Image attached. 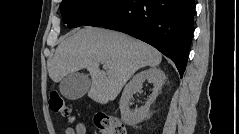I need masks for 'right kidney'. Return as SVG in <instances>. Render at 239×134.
<instances>
[{
    "label": "right kidney",
    "instance_id": "1",
    "mask_svg": "<svg viewBox=\"0 0 239 134\" xmlns=\"http://www.w3.org/2000/svg\"><path fill=\"white\" fill-rule=\"evenodd\" d=\"M146 80H150L153 83V92L144 106L131 110L129 108L130 100L136 92L142 89V84ZM164 80V72L156 67L143 70L132 78V80L125 86L119 103L121 116L125 124L136 125L146 118L150 105L156 99Z\"/></svg>",
    "mask_w": 239,
    "mask_h": 134
}]
</instances>
